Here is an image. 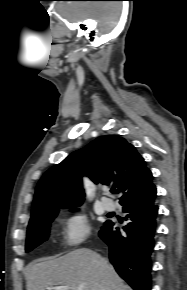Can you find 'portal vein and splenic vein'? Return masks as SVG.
Listing matches in <instances>:
<instances>
[{
  "label": "portal vein and splenic vein",
  "instance_id": "18ae733b",
  "mask_svg": "<svg viewBox=\"0 0 187 290\" xmlns=\"http://www.w3.org/2000/svg\"><path fill=\"white\" fill-rule=\"evenodd\" d=\"M47 290H77V289L70 286L63 285V286H57V287H48Z\"/></svg>",
  "mask_w": 187,
  "mask_h": 290
}]
</instances>
